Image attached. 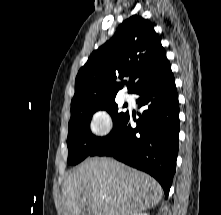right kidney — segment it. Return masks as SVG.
<instances>
[{
  "label": "right kidney",
  "instance_id": "1",
  "mask_svg": "<svg viewBox=\"0 0 221 215\" xmlns=\"http://www.w3.org/2000/svg\"><path fill=\"white\" fill-rule=\"evenodd\" d=\"M133 215H149V214H147V213H142V212H139V213H135V214H133Z\"/></svg>",
  "mask_w": 221,
  "mask_h": 215
}]
</instances>
